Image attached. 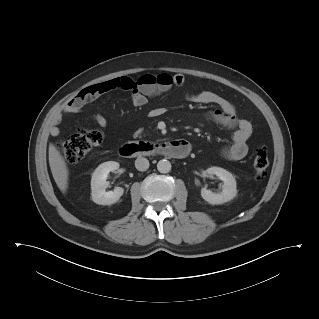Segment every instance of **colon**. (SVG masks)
Returning a JSON list of instances; mask_svg holds the SVG:
<instances>
[{
    "mask_svg": "<svg viewBox=\"0 0 319 319\" xmlns=\"http://www.w3.org/2000/svg\"><path fill=\"white\" fill-rule=\"evenodd\" d=\"M170 82L171 79L168 74H145L137 80L126 79L119 85V88L126 91L138 90L149 92ZM102 139L103 134L99 130H81L61 139L58 146L65 161L76 163L83 159L93 148L100 145ZM268 166L269 156L267 151L265 149H258L253 157V169L256 179L261 180L266 176Z\"/></svg>",
    "mask_w": 319,
    "mask_h": 319,
    "instance_id": "5ec220e1",
    "label": "colon"
}]
</instances>
